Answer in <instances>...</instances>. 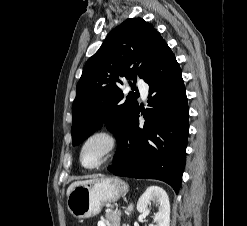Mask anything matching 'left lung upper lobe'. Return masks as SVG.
I'll use <instances>...</instances> for the list:
<instances>
[{"label":"left lung upper lobe","mask_w":247,"mask_h":226,"mask_svg":"<svg viewBox=\"0 0 247 226\" xmlns=\"http://www.w3.org/2000/svg\"><path fill=\"white\" fill-rule=\"evenodd\" d=\"M165 45L160 33L141 18L127 19L108 34L86 62L77 84L72 106L74 146L100 129L102 121L118 137L138 109V92H131L123 103L122 78L144 79ZM135 80L130 83L133 90Z\"/></svg>","instance_id":"left-lung-upper-lobe-1"}]
</instances>
